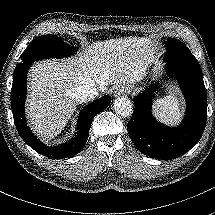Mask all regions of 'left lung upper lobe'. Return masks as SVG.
I'll return each mask as SVG.
<instances>
[{"instance_id": "obj_1", "label": "left lung upper lobe", "mask_w": 215, "mask_h": 215, "mask_svg": "<svg viewBox=\"0 0 215 215\" xmlns=\"http://www.w3.org/2000/svg\"><path fill=\"white\" fill-rule=\"evenodd\" d=\"M165 44L167 46V52L164 57L181 56L191 53L190 50L177 39L167 38V42H165Z\"/></svg>"}]
</instances>
